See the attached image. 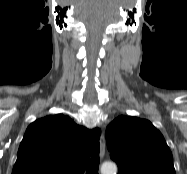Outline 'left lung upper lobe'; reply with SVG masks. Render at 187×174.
Returning <instances> with one entry per match:
<instances>
[{"instance_id": "left-lung-upper-lobe-1", "label": "left lung upper lobe", "mask_w": 187, "mask_h": 174, "mask_svg": "<svg viewBox=\"0 0 187 174\" xmlns=\"http://www.w3.org/2000/svg\"><path fill=\"white\" fill-rule=\"evenodd\" d=\"M106 140L118 174H175L172 153L148 120L119 116L107 126Z\"/></svg>"}]
</instances>
